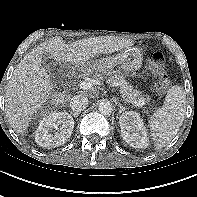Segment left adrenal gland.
Wrapping results in <instances>:
<instances>
[{
    "label": "left adrenal gland",
    "instance_id": "1",
    "mask_svg": "<svg viewBox=\"0 0 197 197\" xmlns=\"http://www.w3.org/2000/svg\"><path fill=\"white\" fill-rule=\"evenodd\" d=\"M119 106V114H121L123 111H126L127 110V107H124L121 103L118 104Z\"/></svg>",
    "mask_w": 197,
    "mask_h": 197
}]
</instances>
